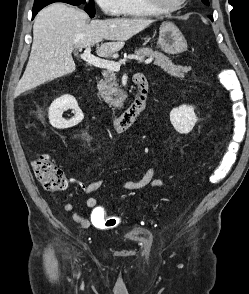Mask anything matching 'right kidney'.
<instances>
[{
    "instance_id": "obj_1",
    "label": "right kidney",
    "mask_w": 249,
    "mask_h": 294,
    "mask_svg": "<svg viewBox=\"0 0 249 294\" xmlns=\"http://www.w3.org/2000/svg\"><path fill=\"white\" fill-rule=\"evenodd\" d=\"M72 109L75 116L72 119L65 120L62 114L65 110ZM49 122L56 129L71 128L80 123L83 118V112L78 107L77 101L71 95H63L54 100L48 111Z\"/></svg>"
}]
</instances>
